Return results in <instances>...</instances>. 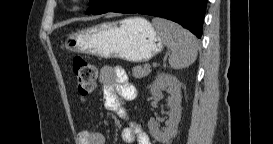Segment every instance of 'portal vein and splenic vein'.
I'll list each match as a JSON object with an SVG mask.
<instances>
[{
  "label": "portal vein and splenic vein",
  "mask_w": 273,
  "mask_h": 144,
  "mask_svg": "<svg viewBox=\"0 0 273 144\" xmlns=\"http://www.w3.org/2000/svg\"><path fill=\"white\" fill-rule=\"evenodd\" d=\"M145 67H148V68H150V65H149V64H147V65H145Z\"/></svg>",
  "instance_id": "obj_1"
}]
</instances>
